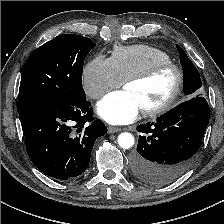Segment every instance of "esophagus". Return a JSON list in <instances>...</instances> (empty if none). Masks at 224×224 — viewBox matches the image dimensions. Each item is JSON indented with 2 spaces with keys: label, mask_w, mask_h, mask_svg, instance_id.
<instances>
[{
  "label": "esophagus",
  "mask_w": 224,
  "mask_h": 224,
  "mask_svg": "<svg viewBox=\"0 0 224 224\" xmlns=\"http://www.w3.org/2000/svg\"><path fill=\"white\" fill-rule=\"evenodd\" d=\"M119 131H121V129L118 128V127H112V126L108 127V132L109 133H116V132H119Z\"/></svg>",
  "instance_id": "34e87169"
}]
</instances>
